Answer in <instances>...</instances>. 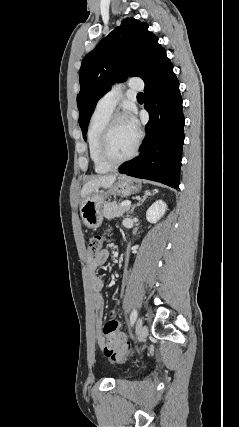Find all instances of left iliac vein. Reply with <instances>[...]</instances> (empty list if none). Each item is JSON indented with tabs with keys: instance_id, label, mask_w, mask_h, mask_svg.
Listing matches in <instances>:
<instances>
[{
	"instance_id": "obj_1",
	"label": "left iliac vein",
	"mask_w": 239,
	"mask_h": 427,
	"mask_svg": "<svg viewBox=\"0 0 239 427\" xmlns=\"http://www.w3.org/2000/svg\"><path fill=\"white\" fill-rule=\"evenodd\" d=\"M136 334L138 342L143 341L148 335V328L146 325H143L142 319H138L137 321Z\"/></svg>"
}]
</instances>
